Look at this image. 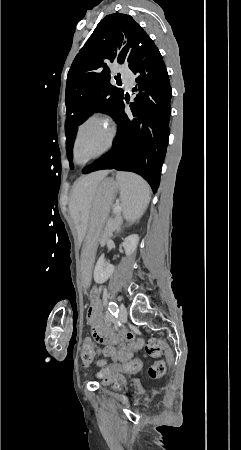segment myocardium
Listing matches in <instances>:
<instances>
[{"mask_svg":"<svg viewBox=\"0 0 241 450\" xmlns=\"http://www.w3.org/2000/svg\"><path fill=\"white\" fill-rule=\"evenodd\" d=\"M96 125L98 127H109V122H98ZM75 126L76 127H79V126L83 127L84 123L83 122H80V123L76 122ZM104 133H105V137H103L102 140H97L96 144L97 145H102L103 152L107 153L108 149L112 148V145L109 144V142H112V137H110V135H114V130H109L108 129V130H105ZM87 135H89V134H87L86 130H81L80 129V130H77V132H73V137H77V143L75 145V148H72V153H71L72 157L69 158L70 162L74 163V162H83V161L84 162H90L91 161V159H89L88 157H84V158L80 157L82 155L81 151H90V150H81V149H87L89 147L88 146L89 141L85 140V138H84ZM102 148H98V149H96V148L94 149L93 148L92 149V152H94L96 154L97 158L98 157H102Z\"/></svg>","mask_w":241,"mask_h":450,"instance_id":"myocardium-1","label":"myocardium"}]
</instances>
